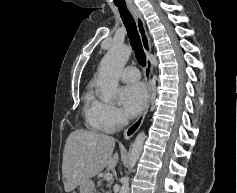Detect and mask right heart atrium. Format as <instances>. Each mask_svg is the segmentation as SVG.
Listing matches in <instances>:
<instances>
[{"instance_id": "obj_1", "label": "right heart atrium", "mask_w": 237, "mask_h": 193, "mask_svg": "<svg viewBox=\"0 0 237 193\" xmlns=\"http://www.w3.org/2000/svg\"><path fill=\"white\" fill-rule=\"evenodd\" d=\"M99 115L105 132H113L121 128L126 122L122 111L107 102H99Z\"/></svg>"}]
</instances>
